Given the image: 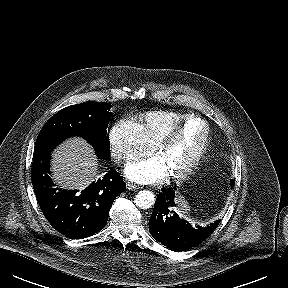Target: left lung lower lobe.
<instances>
[{
    "mask_svg": "<svg viewBox=\"0 0 288 288\" xmlns=\"http://www.w3.org/2000/svg\"><path fill=\"white\" fill-rule=\"evenodd\" d=\"M175 190L176 187L164 188L158 194L149 220V231L154 239L169 249L181 251L194 247L207 239L217 228L220 220L206 227H192L174 211Z\"/></svg>",
    "mask_w": 288,
    "mask_h": 288,
    "instance_id": "1",
    "label": "left lung lower lobe"
}]
</instances>
